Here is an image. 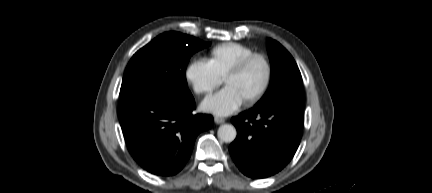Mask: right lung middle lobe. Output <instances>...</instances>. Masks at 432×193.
<instances>
[{"label": "right lung middle lobe", "instance_id": "obj_1", "mask_svg": "<svg viewBox=\"0 0 432 193\" xmlns=\"http://www.w3.org/2000/svg\"><path fill=\"white\" fill-rule=\"evenodd\" d=\"M207 46L209 43L178 32L157 36L138 50L128 63L120 89V101L147 92L174 99L191 96L186 67L190 57Z\"/></svg>", "mask_w": 432, "mask_h": 193}]
</instances>
